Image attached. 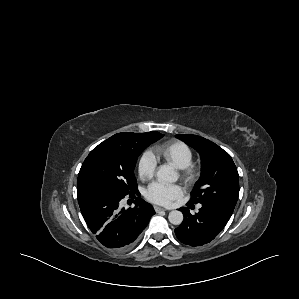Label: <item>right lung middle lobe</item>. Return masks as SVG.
<instances>
[{
    "instance_id": "right-lung-middle-lobe-1",
    "label": "right lung middle lobe",
    "mask_w": 299,
    "mask_h": 299,
    "mask_svg": "<svg viewBox=\"0 0 299 299\" xmlns=\"http://www.w3.org/2000/svg\"><path fill=\"white\" fill-rule=\"evenodd\" d=\"M159 132L142 133L137 144L127 146L110 137L86 157L78 174L77 187L96 183L122 194L137 191L134 167L140 153L152 142L163 137Z\"/></svg>"
}]
</instances>
